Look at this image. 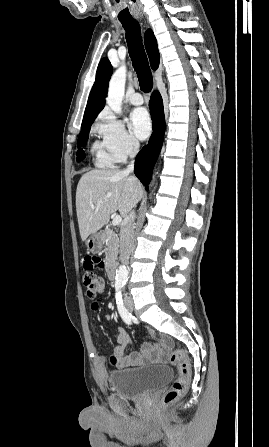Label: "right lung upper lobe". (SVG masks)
<instances>
[{"label":"right lung upper lobe","mask_w":269,"mask_h":447,"mask_svg":"<svg viewBox=\"0 0 269 447\" xmlns=\"http://www.w3.org/2000/svg\"><path fill=\"white\" fill-rule=\"evenodd\" d=\"M145 48L148 53L151 67L157 69L159 66L160 55L157 47L156 38L151 29H148L144 35ZM112 74V66L107 58H103L98 66L96 80L92 87L87 102L82 126L93 123L97 115L105 106V97L108 92V83Z\"/></svg>","instance_id":"cb5924a9"}]
</instances>
